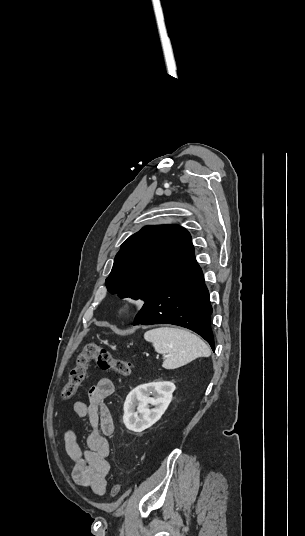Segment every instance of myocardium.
<instances>
[{"mask_svg":"<svg viewBox=\"0 0 305 536\" xmlns=\"http://www.w3.org/2000/svg\"><path fill=\"white\" fill-rule=\"evenodd\" d=\"M138 307V303L135 299L126 297L122 301V310L125 313H133Z\"/></svg>","mask_w":305,"mask_h":536,"instance_id":"myocardium-1","label":"myocardium"}]
</instances>
